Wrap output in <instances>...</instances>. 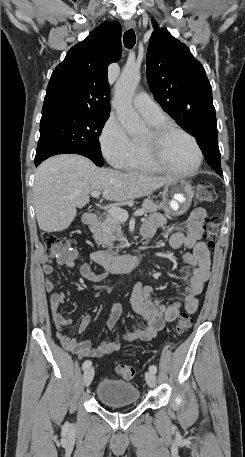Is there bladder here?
<instances>
[{"instance_id":"bladder-1","label":"bladder","mask_w":245,"mask_h":457,"mask_svg":"<svg viewBox=\"0 0 245 457\" xmlns=\"http://www.w3.org/2000/svg\"><path fill=\"white\" fill-rule=\"evenodd\" d=\"M96 396L105 405L138 403L140 392L135 385L118 379L102 378L96 388Z\"/></svg>"}]
</instances>
